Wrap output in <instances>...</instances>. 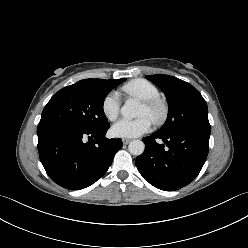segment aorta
I'll return each mask as SVG.
<instances>
[{"label":"aorta","instance_id":"1","mask_svg":"<svg viewBox=\"0 0 248 248\" xmlns=\"http://www.w3.org/2000/svg\"><path fill=\"white\" fill-rule=\"evenodd\" d=\"M139 103L134 99H128L123 107L121 113L126 118H135L139 114ZM129 152L133 155H141L144 152L145 144L141 140H133L128 145Z\"/></svg>","mask_w":248,"mask_h":248}]
</instances>
